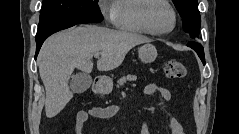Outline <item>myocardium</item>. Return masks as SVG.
Masks as SVG:
<instances>
[{
    "label": "myocardium",
    "mask_w": 239,
    "mask_h": 134,
    "mask_svg": "<svg viewBox=\"0 0 239 134\" xmlns=\"http://www.w3.org/2000/svg\"><path fill=\"white\" fill-rule=\"evenodd\" d=\"M156 2H160V3H163L164 5H166L172 13L173 22H172L171 27L168 30L157 31L151 25L150 18H149V11H150L152 5ZM140 19H141V23L146 28V30L150 34L155 35V36H166V35H169L170 33H172L177 26V20H178L177 12H176L175 8L172 6V4L169 1H166V0H145L143 6L141 8V11H140Z\"/></svg>",
    "instance_id": "obj_1"
}]
</instances>
